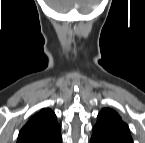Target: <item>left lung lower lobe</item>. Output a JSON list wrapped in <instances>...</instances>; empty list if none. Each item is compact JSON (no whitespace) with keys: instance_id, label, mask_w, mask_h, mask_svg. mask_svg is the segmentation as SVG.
<instances>
[{"instance_id":"left-lung-lower-lobe-1","label":"left lung lower lobe","mask_w":145,"mask_h":143,"mask_svg":"<svg viewBox=\"0 0 145 143\" xmlns=\"http://www.w3.org/2000/svg\"><path fill=\"white\" fill-rule=\"evenodd\" d=\"M91 143H102V142H100L96 138L92 137L91 138Z\"/></svg>"}]
</instances>
